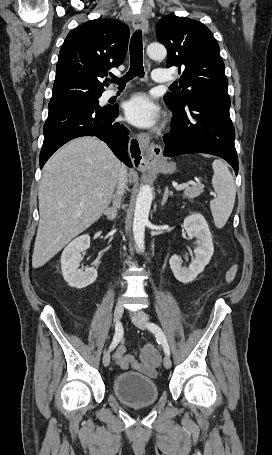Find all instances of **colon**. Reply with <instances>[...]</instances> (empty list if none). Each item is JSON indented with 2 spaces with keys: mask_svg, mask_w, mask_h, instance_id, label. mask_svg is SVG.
I'll use <instances>...</instances> for the list:
<instances>
[{
  "mask_svg": "<svg viewBox=\"0 0 272 455\" xmlns=\"http://www.w3.org/2000/svg\"><path fill=\"white\" fill-rule=\"evenodd\" d=\"M141 358L143 361L153 364V365L159 364L160 360H161L160 354L151 345H146L143 347V349L141 351Z\"/></svg>",
  "mask_w": 272,
  "mask_h": 455,
  "instance_id": "colon-1",
  "label": "colon"
}]
</instances>
